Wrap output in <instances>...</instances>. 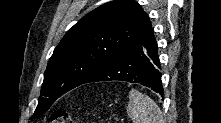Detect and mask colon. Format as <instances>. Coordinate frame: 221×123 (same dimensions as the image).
<instances>
[{"mask_svg": "<svg viewBox=\"0 0 221 123\" xmlns=\"http://www.w3.org/2000/svg\"><path fill=\"white\" fill-rule=\"evenodd\" d=\"M51 123H74V118L66 111L58 110L52 113Z\"/></svg>", "mask_w": 221, "mask_h": 123, "instance_id": "1", "label": "colon"}]
</instances>
